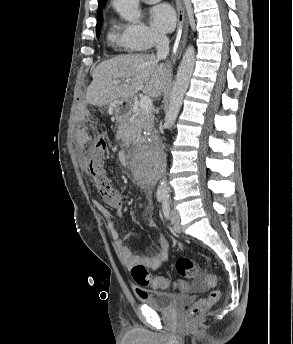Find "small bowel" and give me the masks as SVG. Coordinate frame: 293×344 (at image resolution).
<instances>
[{"label": "small bowel", "mask_w": 293, "mask_h": 344, "mask_svg": "<svg viewBox=\"0 0 293 344\" xmlns=\"http://www.w3.org/2000/svg\"><path fill=\"white\" fill-rule=\"evenodd\" d=\"M74 137L76 147L80 152H83L85 148L90 144L92 139L95 138L89 131L84 130L82 128L76 129ZM96 138H98V136ZM121 158L125 160V154H122ZM95 205L100 214L107 220V231L111 239L114 241L115 248L124 265L129 269L138 265L148 267L151 270L158 269L159 266L165 261L168 255L169 244L165 237H163L162 235H157V249L150 255H137L136 253H134L128 241L129 236L127 234L124 236L120 235L115 222L112 220V214L110 213V211L99 202H96ZM117 212L119 215L122 214V204H120L117 207ZM149 227L155 228V222L150 221ZM136 293L139 297H142L146 293V290H144L141 287H137Z\"/></svg>", "instance_id": "small-bowel-1"}]
</instances>
